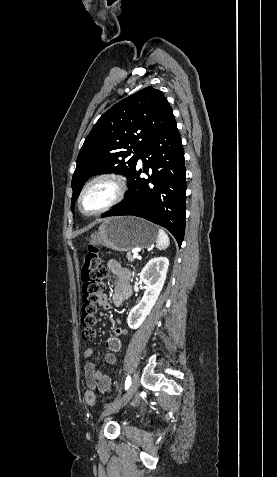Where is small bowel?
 Listing matches in <instances>:
<instances>
[{"label":"small bowel","mask_w":277,"mask_h":477,"mask_svg":"<svg viewBox=\"0 0 277 477\" xmlns=\"http://www.w3.org/2000/svg\"><path fill=\"white\" fill-rule=\"evenodd\" d=\"M107 268L117 277L112 296L113 304L115 306H121L131 295V273L127 268L122 267L114 260L107 263ZM100 305L104 310L111 308V304L106 295L102 296ZM126 334L127 331L125 329L116 328L114 334L105 339L108 352L105 354L104 359L109 365L116 364L117 358L115 353L120 351L122 346L121 337ZM93 353L94 351L91 348L86 349L84 352V358L86 360L84 367L86 384L91 389H95L101 393H108L112 389L111 377L98 370L97 365L89 360Z\"/></svg>","instance_id":"small-bowel-1"}]
</instances>
